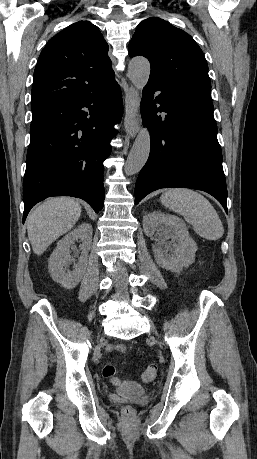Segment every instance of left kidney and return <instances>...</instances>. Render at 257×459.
Returning <instances> with one entry per match:
<instances>
[{
	"instance_id": "1",
	"label": "left kidney",
	"mask_w": 257,
	"mask_h": 459,
	"mask_svg": "<svg viewBox=\"0 0 257 459\" xmlns=\"http://www.w3.org/2000/svg\"><path fill=\"white\" fill-rule=\"evenodd\" d=\"M143 230L147 236L155 235L160 245L172 239V243L164 247L153 246L156 262L162 268L180 273L194 262L197 244L190 237L186 224L177 216L151 212L143 218Z\"/></svg>"
}]
</instances>
